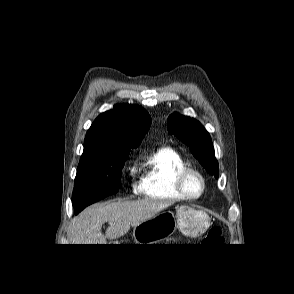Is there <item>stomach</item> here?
I'll return each instance as SVG.
<instances>
[{
    "label": "stomach",
    "mask_w": 294,
    "mask_h": 294,
    "mask_svg": "<svg viewBox=\"0 0 294 294\" xmlns=\"http://www.w3.org/2000/svg\"><path fill=\"white\" fill-rule=\"evenodd\" d=\"M211 225L209 215L201 210L182 205L176 214L163 211L133 228L136 244H157L169 238L177 229L186 237L201 236Z\"/></svg>",
    "instance_id": "1"
}]
</instances>
